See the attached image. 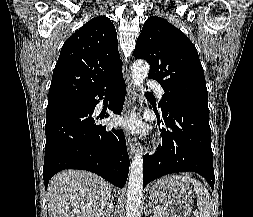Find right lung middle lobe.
Instances as JSON below:
<instances>
[{
  "instance_id": "1",
  "label": "right lung middle lobe",
  "mask_w": 253,
  "mask_h": 217,
  "mask_svg": "<svg viewBox=\"0 0 253 217\" xmlns=\"http://www.w3.org/2000/svg\"><path fill=\"white\" fill-rule=\"evenodd\" d=\"M66 101H67V100H66ZM61 102H63V101L48 103V106H47V107H49V106H54V105H56V104H58V103H61Z\"/></svg>"
}]
</instances>
